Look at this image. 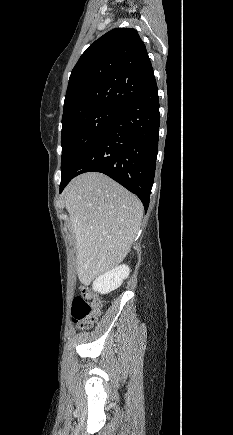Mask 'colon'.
I'll return each instance as SVG.
<instances>
[{
    "instance_id": "obj_1",
    "label": "colon",
    "mask_w": 233,
    "mask_h": 435,
    "mask_svg": "<svg viewBox=\"0 0 233 435\" xmlns=\"http://www.w3.org/2000/svg\"><path fill=\"white\" fill-rule=\"evenodd\" d=\"M90 294V289L84 286L81 289V294H78L73 299L72 304V321L80 329H90L97 322L103 303L99 299L88 301L87 297Z\"/></svg>"
}]
</instances>
